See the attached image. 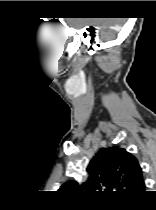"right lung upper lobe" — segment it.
I'll return each mask as SVG.
<instances>
[{"label": "right lung upper lobe", "mask_w": 156, "mask_h": 210, "mask_svg": "<svg viewBox=\"0 0 156 210\" xmlns=\"http://www.w3.org/2000/svg\"><path fill=\"white\" fill-rule=\"evenodd\" d=\"M87 173L86 181H68L60 190H74L84 198L132 200L145 189L137 159L120 147L102 148Z\"/></svg>", "instance_id": "obj_1"}]
</instances>
